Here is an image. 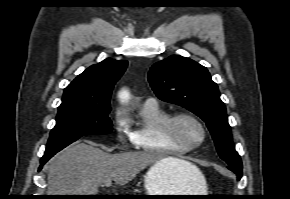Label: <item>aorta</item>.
Returning a JSON list of instances; mask_svg holds the SVG:
<instances>
[{"label": "aorta", "instance_id": "762f6f07", "mask_svg": "<svg viewBox=\"0 0 290 199\" xmlns=\"http://www.w3.org/2000/svg\"><path fill=\"white\" fill-rule=\"evenodd\" d=\"M119 98L122 103H127L130 98V94L127 90H122L119 94Z\"/></svg>", "mask_w": 290, "mask_h": 199}]
</instances>
